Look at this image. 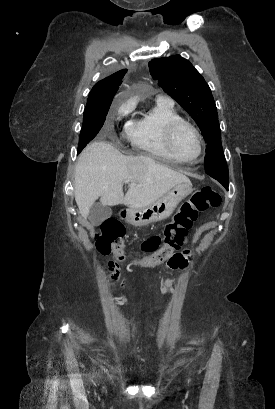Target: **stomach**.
<instances>
[{"label":"stomach","instance_id":"1","mask_svg":"<svg viewBox=\"0 0 275 409\" xmlns=\"http://www.w3.org/2000/svg\"><path fill=\"white\" fill-rule=\"evenodd\" d=\"M192 182H179L171 190H167L158 200L151 202L147 207L141 209H129L126 215L127 223L134 227H146L150 223H159L172 215L182 198L192 192Z\"/></svg>","mask_w":275,"mask_h":409}]
</instances>
